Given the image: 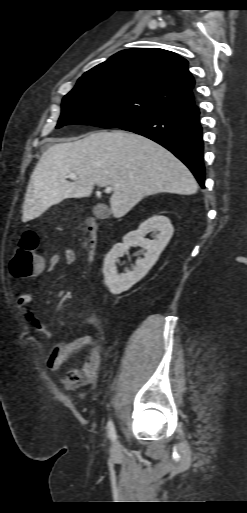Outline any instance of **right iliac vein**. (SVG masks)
Wrapping results in <instances>:
<instances>
[{
    "label": "right iliac vein",
    "mask_w": 247,
    "mask_h": 513,
    "mask_svg": "<svg viewBox=\"0 0 247 513\" xmlns=\"http://www.w3.org/2000/svg\"><path fill=\"white\" fill-rule=\"evenodd\" d=\"M120 446L118 442H114L111 447V454L113 457H116L119 454Z\"/></svg>",
    "instance_id": "1"
}]
</instances>
